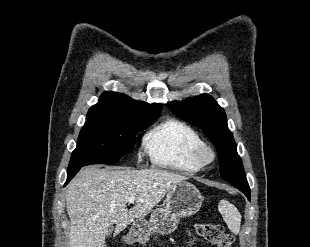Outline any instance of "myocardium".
I'll list each match as a JSON object with an SVG mask.
<instances>
[{"instance_id":"1","label":"myocardium","mask_w":310,"mask_h":247,"mask_svg":"<svg viewBox=\"0 0 310 247\" xmlns=\"http://www.w3.org/2000/svg\"><path fill=\"white\" fill-rule=\"evenodd\" d=\"M192 158L199 167H204L215 161L216 154L210 145L203 143L194 149Z\"/></svg>"}]
</instances>
